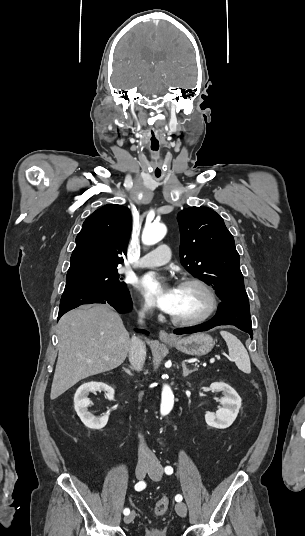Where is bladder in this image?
<instances>
[{
    "mask_svg": "<svg viewBox=\"0 0 305 536\" xmlns=\"http://www.w3.org/2000/svg\"><path fill=\"white\" fill-rule=\"evenodd\" d=\"M136 536H167L166 530L164 528H158L153 532L146 533L143 535H136Z\"/></svg>",
    "mask_w": 305,
    "mask_h": 536,
    "instance_id": "1",
    "label": "bladder"
}]
</instances>
